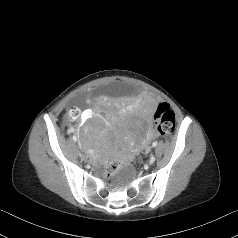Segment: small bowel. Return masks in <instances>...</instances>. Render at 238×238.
Wrapping results in <instances>:
<instances>
[{"mask_svg": "<svg viewBox=\"0 0 238 238\" xmlns=\"http://www.w3.org/2000/svg\"><path fill=\"white\" fill-rule=\"evenodd\" d=\"M144 107H145V111L147 112V114H152L157 109L156 105L152 101H147L145 103ZM86 114L88 115L89 113H86ZM71 131H73V129H71ZM150 135H151V130L148 129L147 130V137H149Z\"/></svg>", "mask_w": 238, "mask_h": 238, "instance_id": "obj_1", "label": "small bowel"}]
</instances>
